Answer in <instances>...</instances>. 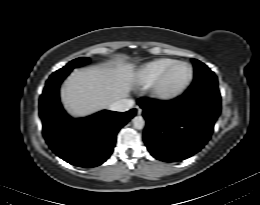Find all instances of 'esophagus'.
I'll list each match as a JSON object with an SVG mask.
<instances>
[{
    "label": "esophagus",
    "instance_id": "esophagus-1",
    "mask_svg": "<svg viewBox=\"0 0 260 205\" xmlns=\"http://www.w3.org/2000/svg\"><path fill=\"white\" fill-rule=\"evenodd\" d=\"M136 108H137V114L141 115L142 114V109L139 106H136Z\"/></svg>",
    "mask_w": 260,
    "mask_h": 205
}]
</instances>
